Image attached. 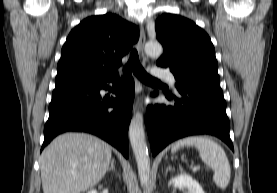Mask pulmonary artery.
<instances>
[{"instance_id": "obj_1", "label": "pulmonary artery", "mask_w": 277, "mask_h": 193, "mask_svg": "<svg viewBox=\"0 0 277 193\" xmlns=\"http://www.w3.org/2000/svg\"><path fill=\"white\" fill-rule=\"evenodd\" d=\"M153 74L156 77L163 78V79L167 80L173 86H175V84H176V78L173 75V73L170 72L169 70L154 69L153 70Z\"/></svg>"}]
</instances>
